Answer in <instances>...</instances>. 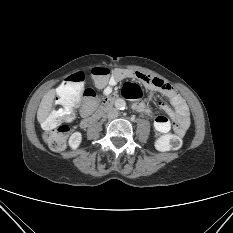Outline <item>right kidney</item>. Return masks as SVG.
Listing matches in <instances>:
<instances>
[{
  "label": "right kidney",
  "mask_w": 233,
  "mask_h": 233,
  "mask_svg": "<svg viewBox=\"0 0 233 233\" xmlns=\"http://www.w3.org/2000/svg\"><path fill=\"white\" fill-rule=\"evenodd\" d=\"M82 141V134L80 132H74L68 141V144L71 149L75 150L79 147Z\"/></svg>",
  "instance_id": "ca27d5eb"
}]
</instances>
